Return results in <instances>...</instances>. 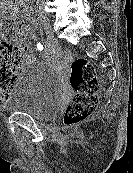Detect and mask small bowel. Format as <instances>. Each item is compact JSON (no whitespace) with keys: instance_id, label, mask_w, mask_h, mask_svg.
Returning <instances> with one entry per match:
<instances>
[{"instance_id":"1","label":"small bowel","mask_w":133,"mask_h":173,"mask_svg":"<svg viewBox=\"0 0 133 173\" xmlns=\"http://www.w3.org/2000/svg\"><path fill=\"white\" fill-rule=\"evenodd\" d=\"M29 22L35 26V21L33 20V18L29 19ZM27 35L29 36V38L33 39L35 37V33L33 30H29ZM20 52L22 53V55L26 56L27 58L31 57V48L27 42V37L23 36L20 41H19V46H18ZM59 52V47L56 44L53 48V50L51 51V55H56Z\"/></svg>"}]
</instances>
